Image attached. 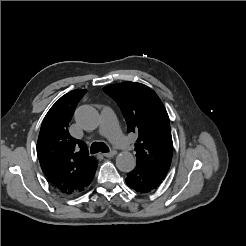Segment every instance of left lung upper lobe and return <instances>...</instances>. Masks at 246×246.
<instances>
[{"mask_svg":"<svg viewBox=\"0 0 246 246\" xmlns=\"http://www.w3.org/2000/svg\"><path fill=\"white\" fill-rule=\"evenodd\" d=\"M103 91L120 107L128 132L138 134L137 165L165 178L171 164L173 142L167 111L157 94L141 83L108 85Z\"/></svg>","mask_w":246,"mask_h":246,"instance_id":"obj_1","label":"left lung upper lobe"}]
</instances>
